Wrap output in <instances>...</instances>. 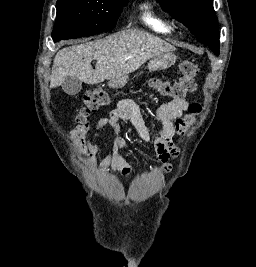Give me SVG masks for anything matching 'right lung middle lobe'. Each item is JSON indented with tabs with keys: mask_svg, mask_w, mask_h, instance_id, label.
Returning <instances> with one entry per match:
<instances>
[{
	"mask_svg": "<svg viewBox=\"0 0 256 267\" xmlns=\"http://www.w3.org/2000/svg\"><path fill=\"white\" fill-rule=\"evenodd\" d=\"M127 0H58L54 42L111 30Z\"/></svg>",
	"mask_w": 256,
	"mask_h": 267,
	"instance_id": "right-lung-middle-lobe-1",
	"label": "right lung middle lobe"
}]
</instances>
